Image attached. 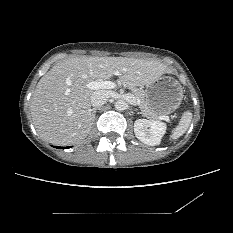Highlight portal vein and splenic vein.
<instances>
[{"mask_svg": "<svg viewBox=\"0 0 233 233\" xmlns=\"http://www.w3.org/2000/svg\"><path fill=\"white\" fill-rule=\"evenodd\" d=\"M87 87L91 90H98V89H113L116 87V84L112 81H92L87 84ZM136 105H139V99L135 101ZM160 119L168 121V117L160 116Z\"/></svg>", "mask_w": 233, "mask_h": 233, "instance_id": "portal-vein-and-splenic-vein-1", "label": "portal vein and splenic vein"}]
</instances>
